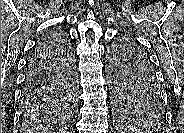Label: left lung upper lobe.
<instances>
[{
    "mask_svg": "<svg viewBox=\"0 0 184 133\" xmlns=\"http://www.w3.org/2000/svg\"><path fill=\"white\" fill-rule=\"evenodd\" d=\"M109 73L115 105L124 117L146 127L163 125L165 111L154 69L146 53L133 41L121 40L110 50Z\"/></svg>",
    "mask_w": 184,
    "mask_h": 133,
    "instance_id": "left-lung-upper-lobe-1",
    "label": "left lung upper lobe"
}]
</instances>
